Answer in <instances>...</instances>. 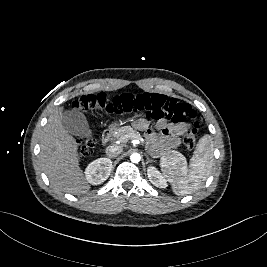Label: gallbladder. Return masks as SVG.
<instances>
[{
    "instance_id": "gallbladder-1",
    "label": "gallbladder",
    "mask_w": 267,
    "mask_h": 267,
    "mask_svg": "<svg viewBox=\"0 0 267 267\" xmlns=\"http://www.w3.org/2000/svg\"><path fill=\"white\" fill-rule=\"evenodd\" d=\"M62 124L72 135L82 138H92V130L89 127L86 116L79 110H67L62 114Z\"/></svg>"
}]
</instances>
